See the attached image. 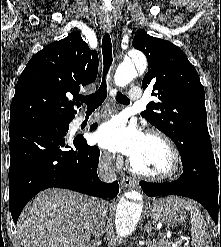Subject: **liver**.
<instances>
[{
	"label": "liver",
	"mask_w": 221,
	"mask_h": 247,
	"mask_svg": "<svg viewBox=\"0 0 221 247\" xmlns=\"http://www.w3.org/2000/svg\"><path fill=\"white\" fill-rule=\"evenodd\" d=\"M97 200L70 190L40 192L22 211L18 235L24 247H89ZM107 213L108 206L103 203Z\"/></svg>",
	"instance_id": "1"
}]
</instances>
